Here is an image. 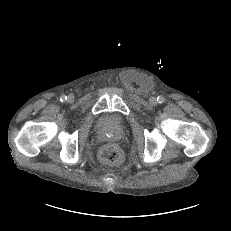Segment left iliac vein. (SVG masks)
Returning a JSON list of instances; mask_svg holds the SVG:
<instances>
[{
  "label": "left iliac vein",
  "instance_id": "left-iliac-vein-1",
  "mask_svg": "<svg viewBox=\"0 0 231 231\" xmlns=\"http://www.w3.org/2000/svg\"><path fill=\"white\" fill-rule=\"evenodd\" d=\"M150 103H151L152 105H155V104L157 103L156 98H155V97H151V98H150Z\"/></svg>",
  "mask_w": 231,
  "mask_h": 231
}]
</instances>
